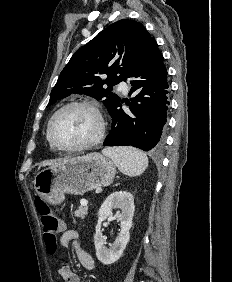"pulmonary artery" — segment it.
I'll use <instances>...</instances> for the list:
<instances>
[{
    "instance_id": "e3ab8cb5",
    "label": "pulmonary artery",
    "mask_w": 232,
    "mask_h": 282,
    "mask_svg": "<svg viewBox=\"0 0 232 282\" xmlns=\"http://www.w3.org/2000/svg\"><path fill=\"white\" fill-rule=\"evenodd\" d=\"M117 89L126 94L128 92V85L125 82H120Z\"/></svg>"
}]
</instances>
